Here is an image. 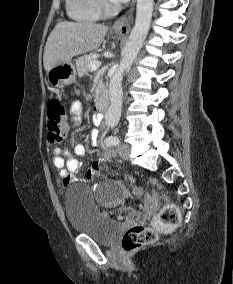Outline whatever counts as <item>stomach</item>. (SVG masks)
<instances>
[{"label": "stomach", "mask_w": 233, "mask_h": 284, "mask_svg": "<svg viewBox=\"0 0 233 284\" xmlns=\"http://www.w3.org/2000/svg\"><path fill=\"white\" fill-rule=\"evenodd\" d=\"M76 68L72 61L58 64L47 72L48 83L51 87L63 89L76 80Z\"/></svg>", "instance_id": "1"}]
</instances>
